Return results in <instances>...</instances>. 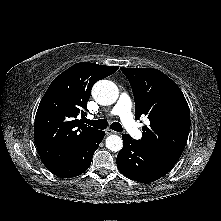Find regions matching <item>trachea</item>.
<instances>
[{"label":"trachea","mask_w":221,"mask_h":221,"mask_svg":"<svg viewBox=\"0 0 221 221\" xmlns=\"http://www.w3.org/2000/svg\"><path fill=\"white\" fill-rule=\"evenodd\" d=\"M85 123H87L90 126H93V127L97 128V129H105L108 126V122L104 119H100V120L86 119ZM110 128L114 131H117V132L123 131V128H122L121 124L118 123V122L112 123L110 125Z\"/></svg>","instance_id":"obj_1"}]
</instances>
